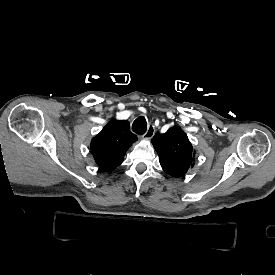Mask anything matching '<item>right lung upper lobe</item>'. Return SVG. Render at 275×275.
Instances as JSON below:
<instances>
[{"label": "right lung upper lobe", "mask_w": 275, "mask_h": 275, "mask_svg": "<svg viewBox=\"0 0 275 275\" xmlns=\"http://www.w3.org/2000/svg\"><path fill=\"white\" fill-rule=\"evenodd\" d=\"M136 140L128 121L113 119L91 140V152L102 171H113Z\"/></svg>", "instance_id": "right-lung-upper-lobe-1"}]
</instances>
